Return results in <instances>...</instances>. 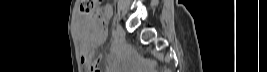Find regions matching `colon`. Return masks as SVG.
I'll list each match as a JSON object with an SVG mask.
<instances>
[{
	"label": "colon",
	"mask_w": 267,
	"mask_h": 72,
	"mask_svg": "<svg viewBox=\"0 0 267 72\" xmlns=\"http://www.w3.org/2000/svg\"><path fill=\"white\" fill-rule=\"evenodd\" d=\"M103 1L102 0H81L80 6L81 10L85 13L91 15L93 25L97 27L99 30L97 31L98 35L102 34V10L100 5ZM90 70L92 72H100L99 63L97 61H93L90 64Z\"/></svg>",
	"instance_id": "obj_1"
}]
</instances>
